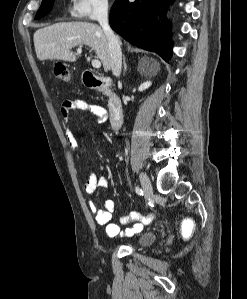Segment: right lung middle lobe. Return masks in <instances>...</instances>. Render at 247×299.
Here are the masks:
<instances>
[{
	"mask_svg": "<svg viewBox=\"0 0 247 299\" xmlns=\"http://www.w3.org/2000/svg\"><path fill=\"white\" fill-rule=\"evenodd\" d=\"M53 2L54 0H43L35 19H39L47 15L52 8Z\"/></svg>",
	"mask_w": 247,
	"mask_h": 299,
	"instance_id": "1",
	"label": "right lung middle lobe"
}]
</instances>
